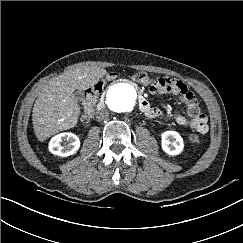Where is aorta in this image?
I'll list each match as a JSON object with an SVG mask.
<instances>
[{"label": "aorta", "instance_id": "1", "mask_svg": "<svg viewBox=\"0 0 243 243\" xmlns=\"http://www.w3.org/2000/svg\"><path fill=\"white\" fill-rule=\"evenodd\" d=\"M105 102L114 112H131L136 102V91L128 83L113 84L106 93Z\"/></svg>", "mask_w": 243, "mask_h": 243}]
</instances>
